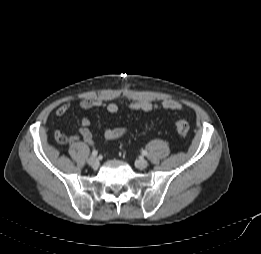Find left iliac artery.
<instances>
[{
    "label": "left iliac artery",
    "mask_w": 261,
    "mask_h": 254,
    "mask_svg": "<svg viewBox=\"0 0 261 254\" xmlns=\"http://www.w3.org/2000/svg\"><path fill=\"white\" fill-rule=\"evenodd\" d=\"M142 154L143 155H147V151L146 150H142Z\"/></svg>",
    "instance_id": "left-iliac-artery-1"
}]
</instances>
